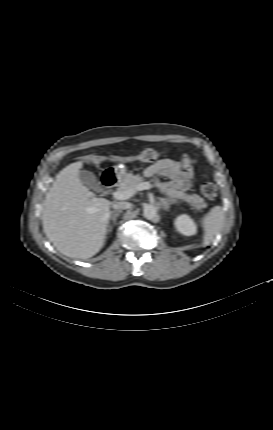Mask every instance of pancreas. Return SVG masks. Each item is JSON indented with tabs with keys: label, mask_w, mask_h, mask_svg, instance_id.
<instances>
[{
	"label": "pancreas",
	"mask_w": 273,
	"mask_h": 430,
	"mask_svg": "<svg viewBox=\"0 0 273 430\" xmlns=\"http://www.w3.org/2000/svg\"><path fill=\"white\" fill-rule=\"evenodd\" d=\"M142 182L143 177L133 175L132 173H127L119 186V190L124 191L130 188H135ZM166 195L168 196V200H170L171 202H176L177 200L185 201L197 210H201L202 208L207 207V204L204 202V199L197 194H186L181 191L170 189L169 191H167Z\"/></svg>",
	"instance_id": "cf45deb5"
}]
</instances>
